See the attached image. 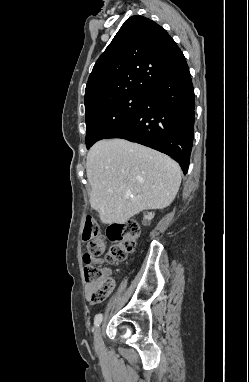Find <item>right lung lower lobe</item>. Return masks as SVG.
<instances>
[{
    "instance_id": "obj_1",
    "label": "right lung lower lobe",
    "mask_w": 249,
    "mask_h": 382,
    "mask_svg": "<svg viewBox=\"0 0 249 382\" xmlns=\"http://www.w3.org/2000/svg\"><path fill=\"white\" fill-rule=\"evenodd\" d=\"M194 117V89L185 64L155 85L136 115L107 138L126 139L165 153L186 174L193 145Z\"/></svg>"
}]
</instances>
